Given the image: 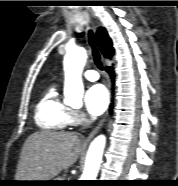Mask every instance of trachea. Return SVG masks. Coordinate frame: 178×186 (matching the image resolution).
Wrapping results in <instances>:
<instances>
[{
  "mask_svg": "<svg viewBox=\"0 0 178 186\" xmlns=\"http://www.w3.org/2000/svg\"><path fill=\"white\" fill-rule=\"evenodd\" d=\"M88 39H89V44L92 48V55H93V58H94V62L100 70H103V64H102V61H101V56H100L99 51L97 49V46L95 44L94 34L91 30H89V32H88Z\"/></svg>",
  "mask_w": 178,
  "mask_h": 186,
  "instance_id": "trachea-1",
  "label": "trachea"
}]
</instances>
